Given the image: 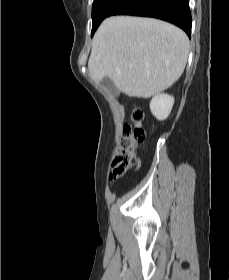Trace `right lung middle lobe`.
Here are the masks:
<instances>
[{"label":"right lung middle lobe","instance_id":"1","mask_svg":"<svg viewBox=\"0 0 229 280\" xmlns=\"http://www.w3.org/2000/svg\"><path fill=\"white\" fill-rule=\"evenodd\" d=\"M116 0H94L92 7V35L99 24L107 16L109 9Z\"/></svg>","mask_w":229,"mask_h":280}]
</instances>
